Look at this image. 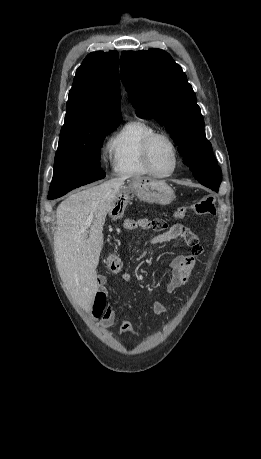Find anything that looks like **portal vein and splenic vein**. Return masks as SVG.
<instances>
[{"instance_id":"obj_1","label":"portal vein and splenic vein","mask_w":261,"mask_h":459,"mask_svg":"<svg viewBox=\"0 0 261 459\" xmlns=\"http://www.w3.org/2000/svg\"><path fill=\"white\" fill-rule=\"evenodd\" d=\"M93 219H94V216H93V215H89V216L87 217L86 222H85L86 228H88V227L91 225V223L93 222Z\"/></svg>"}]
</instances>
